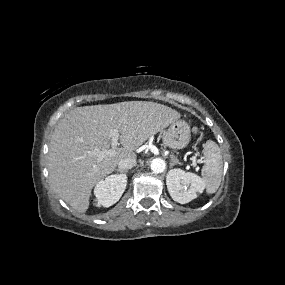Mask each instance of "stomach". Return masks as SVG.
Segmentation results:
<instances>
[{
  "label": "stomach",
  "instance_id": "1",
  "mask_svg": "<svg viewBox=\"0 0 285 285\" xmlns=\"http://www.w3.org/2000/svg\"><path fill=\"white\" fill-rule=\"evenodd\" d=\"M190 126L183 120H175L163 135V144L171 149H183L190 141Z\"/></svg>",
  "mask_w": 285,
  "mask_h": 285
}]
</instances>
